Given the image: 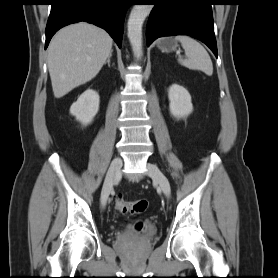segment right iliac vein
I'll return each instance as SVG.
<instances>
[{
  "instance_id": "right-iliac-vein-1",
  "label": "right iliac vein",
  "mask_w": 278,
  "mask_h": 278,
  "mask_svg": "<svg viewBox=\"0 0 278 278\" xmlns=\"http://www.w3.org/2000/svg\"><path fill=\"white\" fill-rule=\"evenodd\" d=\"M122 167V160L121 158L117 157L112 162L108 169V172L106 174V178L102 187L101 191V205L102 207H105L108 197L110 195V192L113 187V183L116 179L117 174L120 172V169Z\"/></svg>"
}]
</instances>
